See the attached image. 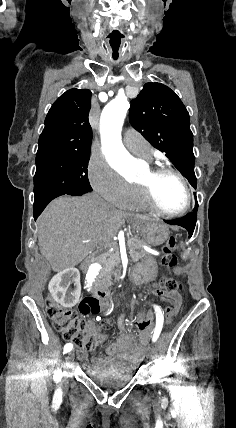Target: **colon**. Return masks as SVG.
<instances>
[{
    "mask_svg": "<svg viewBox=\"0 0 236 428\" xmlns=\"http://www.w3.org/2000/svg\"><path fill=\"white\" fill-rule=\"evenodd\" d=\"M177 248L178 241L174 237L169 238L165 243L161 262L166 268L171 269L177 266L178 258L174 253ZM160 287L171 298V305L167 308V321L170 322L179 306V292L182 284L172 277H163L160 280ZM102 307L103 304L95 297L84 298L79 304L78 311L62 307L51 296L46 298L47 313L54 328L61 333L65 340L70 341L77 348L87 351L98 346L100 337L81 316L97 314ZM135 324L139 327L146 324L141 314L136 317Z\"/></svg>",
    "mask_w": 236,
    "mask_h": 428,
    "instance_id": "1",
    "label": "colon"
}]
</instances>
